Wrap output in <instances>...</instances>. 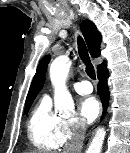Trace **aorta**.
I'll return each instance as SVG.
<instances>
[{"mask_svg":"<svg viewBox=\"0 0 130 153\" xmlns=\"http://www.w3.org/2000/svg\"><path fill=\"white\" fill-rule=\"evenodd\" d=\"M70 66L71 62L66 56L57 57L50 66V79L54 86L55 111L65 116H69L74 110V101L66 86ZM105 135V128L99 127L87 149V153H101Z\"/></svg>","mask_w":130,"mask_h":153,"instance_id":"1","label":"aorta"}]
</instances>
